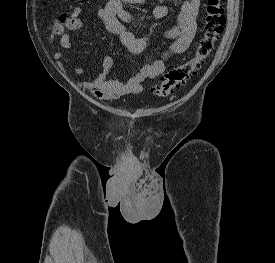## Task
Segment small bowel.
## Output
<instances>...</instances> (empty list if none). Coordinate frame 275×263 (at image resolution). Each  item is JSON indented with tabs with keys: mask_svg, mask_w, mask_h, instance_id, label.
Listing matches in <instances>:
<instances>
[{
	"mask_svg": "<svg viewBox=\"0 0 275 263\" xmlns=\"http://www.w3.org/2000/svg\"><path fill=\"white\" fill-rule=\"evenodd\" d=\"M146 0H109L107 3L98 6L97 14L102 26L109 33L118 37L120 42L131 54H141L147 48L150 37L147 34L136 36L129 31L125 23H130L132 15L127 11L129 4H140ZM201 0H179V14L175 25L168 28L163 38L169 42L168 47L161 56L153 61L145 63L132 77L127 80H115L108 77V73L114 65V60L110 55L104 57L102 61V71L95 75L85 72L82 67L74 66L73 71L78 76H85L87 80H76L68 72L66 65L70 59L63 52L54 54V61L59 70L80 87L88 90L99 100H115L126 94H137L143 91L145 81L159 77L167 68L173 56L184 53L190 46L197 30V19ZM83 8L77 6L72 10L62 12L53 22L49 36V42L56 39L63 49H72L74 43L71 40L70 32L83 28L81 19ZM169 13L165 4H158L152 13L154 20H161Z\"/></svg>",
	"mask_w": 275,
	"mask_h": 263,
	"instance_id": "1",
	"label": "small bowel"
}]
</instances>
